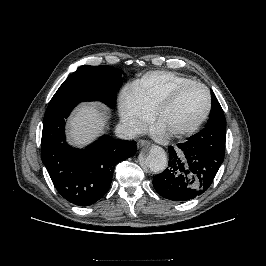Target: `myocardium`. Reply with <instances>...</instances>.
Returning <instances> with one entry per match:
<instances>
[{
	"instance_id": "myocardium-1",
	"label": "myocardium",
	"mask_w": 266,
	"mask_h": 266,
	"mask_svg": "<svg viewBox=\"0 0 266 266\" xmlns=\"http://www.w3.org/2000/svg\"><path fill=\"white\" fill-rule=\"evenodd\" d=\"M189 87H199L203 89V91L206 94V98H207L206 108L204 112L202 113V115L195 122H193L189 126L168 132L170 135H173V136L186 135V134H190L196 131L206 121V119L208 118L211 112L212 96H211L210 90L202 83L191 81V82H187V83H183L178 86H175L158 102V104L153 110L154 120L158 121V118L161 115V113L175 101V99L178 97V95L182 91H184L185 89Z\"/></svg>"
}]
</instances>
